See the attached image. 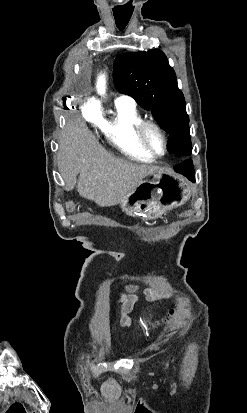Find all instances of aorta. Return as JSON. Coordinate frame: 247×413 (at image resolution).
I'll list each match as a JSON object with an SVG mask.
<instances>
[{"label":"aorta","instance_id":"1","mask_svg":"<svg viewBox=\"0 0 247 413\" xmlns=\"http://www.w3.org/2000/svg\"><path fill=\"white\" fill-rule=\"evenodd\" d=\"M97 91L102 96L106 93V76L100 75L97 81Z\"/></svg>","mask_w":247,"mask_h":413}]
</instances>
